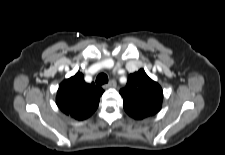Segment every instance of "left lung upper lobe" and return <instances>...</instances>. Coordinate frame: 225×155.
<instances>
[{"instance_id": "5c2ea615", "label": "left lung upper lobe", "mask_w": 225, "mask_h": 155, "mask_svg": "<svg viewBox=\"0 0 225 155\" xmlns=\"http://www.w3.org/2000/svg\"><path fill=\"white\" fill-rule=\"evenodd\" d=\"M120 94L126 113L137 120L157 114L162 106V88L143 69L129 75L127 85Z\"/></svg>"}]
</instances>
